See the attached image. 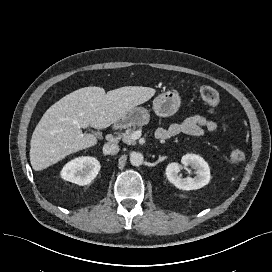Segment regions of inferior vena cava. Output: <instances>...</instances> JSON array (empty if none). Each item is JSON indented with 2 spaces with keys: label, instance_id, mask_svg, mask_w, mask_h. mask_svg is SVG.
I'll return each mask as SVG.
<instances>
[{
  "label": "inferior vena cava",
  "instance_id": "obj_1",
  "mask_svg": "<svg viewBox=\"0 0 272 272\" xmlns=\"http://www.w3.org/2000/svg\"><path fill=\"white\" fill-rule=\"evenodd\" d=\"M103 152L106 154H117L119 152V146L115 143H105L103 146Z\"/></svg>",
  "mask_w": 272,
  "mask_h": 272
}]
</instances>
